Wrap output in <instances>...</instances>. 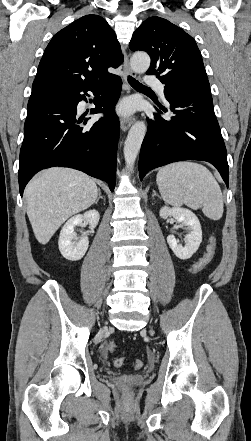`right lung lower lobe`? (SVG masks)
Instances as JSON below:
<instances>
[{
  "label": "right lung lower lobe",
  "mask_w": 251,
  "mask_h": 441,
  "mask_svg": "<svg viewBox=\"0 0 251 441\" xmlns=\"http://www.w3.org/2000/svg\"><path fill=\"white\" fill-rule=\"evenodd\" d=\"M121 85L120 77L112 75L90 87L30 96L19 158L21 195L38 171L53 166L83 171L114 190L120 128L114 106ZM101 90L104 93L91 114L105 112V116L92 126L78 125L83 118L76 116L77 104L86 99L87 91L98 94Z\"/></svg>",
  "instance_id": "right-lung-lower-lobe-1"
}]
</instances>
